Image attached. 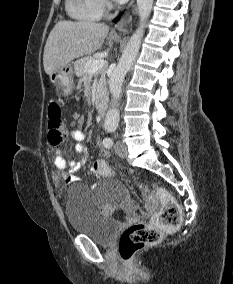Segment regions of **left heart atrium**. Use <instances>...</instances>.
Here are the masks:
<instances>
[{"label": "left heart atrium", "instance_id": "39dd6f15", "mask_svg": "<svg viewBox=\"0 0 233 284\" xmlns=\"http://www.w3.org/2000/svg\"><path fill=\"white\" fill-rule=\"evenodd\" d=\"M117 2H120V3H123V2H125V1H127V0H116Z\"/></svg>", "mask_w": 233, "mask_h": 284}]
</instances>
